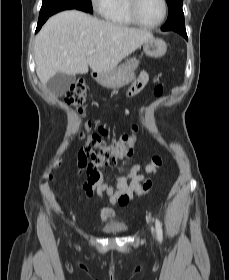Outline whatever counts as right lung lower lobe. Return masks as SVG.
<instances>
[{
  "label": "right lung lower lobe",
  "instance_id": "right-lung-lower-lobe-1",
  "mask_svg": "<svg viewBox=\"0 0 229 280\" xmlns=\"http://www.w3.org/2000/svg\"><path fill=\"white\" fill-rule=\"evenodd\" d=\"M68 9H78V10H82L80 8H76L74 6H70V5H61V6H57L53 9H49V10H45L43 12H40L39 14V20H38V24H37V28H36V33L40 30V28L42 27V25L46 22V20L52 16L53 14L63 11V10H68ZM84 11V10H82ZM86 12V11H85Z\"/></svg>",
  "mask_w": 229,
  "mask_h": 280
}]
</instances>
